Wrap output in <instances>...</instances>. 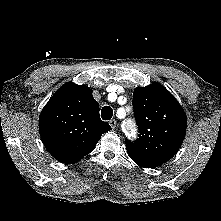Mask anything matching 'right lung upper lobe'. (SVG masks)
I'll return each instance as SVG.
<instances>
[{
  "label": "right lung upper lobe",
  "mask_w": 221,
  "mask_h": 221,
  "mask_svg": "<svg viewBox=\"0 0 221 221\" xmlns=\"http://www.w3.org/2000/svg\"><path fill=\"white\" fill-rule=\"evenodd\" d=\"M39 129L48 152L56 160L71 164L92 152L111 126L100 119L99 104L92 90L69 82L43 108Z\"/></svg>",
  "instance_id": "cb5924a9"
}]
</instances>
